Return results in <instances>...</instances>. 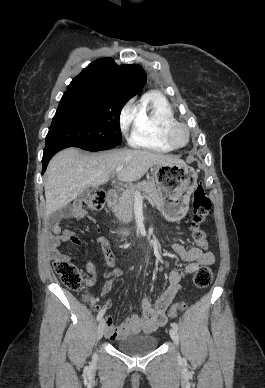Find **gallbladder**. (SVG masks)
<instances>
[{"label":"gallbladder","mask_w":265,"mask_h":388,"mask_svg":"<svg viewBox=\"0 0 265 388\" xmlns=\"http://www.w3.org/2000/svg\"><path fill=\"white\" fill-rule=\"evenodd\" d=\"M88 194H90V190H86L84 194H81V198H87Z\"/></svg>","instance_id":"gallbladder-1"}]
</instances>
